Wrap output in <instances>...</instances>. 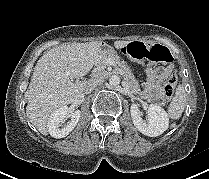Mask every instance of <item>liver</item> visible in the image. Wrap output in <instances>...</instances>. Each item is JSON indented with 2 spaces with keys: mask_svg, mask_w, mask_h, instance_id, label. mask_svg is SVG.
Returning a JSON list of instances; mask_svg holds the SVG:
<instances>
[{
  "mask_svg": "<svg viewBox=\"0 0 209 179\" xmlns=\"http://www.w3.org/2000/svg\"><path fill=\"white\" fill-rule=\"evenodd\" d=\"M130 41H115L121 49ZM102 43H71L50 49L37 61L25 98L26 114L38 131L47 135L50 115L62 106L81 98L87 86L85 81L72 82L83 77L104 56Z\"/></svg>",
  "mask_w": 209,
  "mask_h": 179,
  "instance_id": "1",
  "label": "liver"
}]
</instances>
